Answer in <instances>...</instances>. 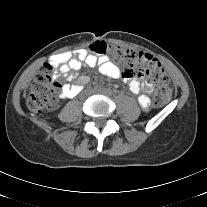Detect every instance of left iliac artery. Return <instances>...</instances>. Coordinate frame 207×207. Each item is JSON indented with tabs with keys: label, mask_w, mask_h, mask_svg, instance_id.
<instances>
[{
	"label": "left iliac artery",
	"mask_w": 207,
	"mask_h": 207,
	"mask_svg": "<svg viewBox=\"0 0 207 207\" xmlns=\"http://www.w3.org/2000/svg\"><path fill=\"white\" fill-rule=\"evenodd\" d=\"M107 94L111 95L112 91L111 90H107Z\"/></svg>",
	"instance_id": "left-iliac-artery-1"
}]
</instances>
